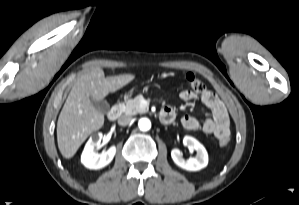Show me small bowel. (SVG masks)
Returning a JSON list of instances; mask_svg holds the SVG:
<instances>
[{
    "label": "small bowel",
    "mask_w": 299,
    "mask_h": 205,
    "mask_svg": "<svg viewBox=\"0 0 299 205\" xmlns=\"http://www.w3.org/2000/svg\"><path fill=\"white\" fill-rule=\"evenodd\" d=\"M180 98L184 101L199 99L211 112V117L206 118L203 121L190 115L183 116L181 124L185 130L193 131L200 129L205 134L213 135L217 139H220L223 136H229V116L225 106L215 93L205 91L198 95L187 89L180 93ZM162 112L171 114L172 120L174 119L175 111L172 107L167 106L163 108Z\"/></svg>",
    "instance_id": "c3829d8e"
}]
</instances>
